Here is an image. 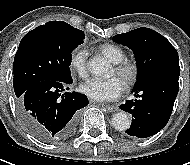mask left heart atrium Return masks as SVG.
Wrapping results in <instances>:
<instances>
[{
	"instance_id": "1",
	"label": "left heart atrium",
	"mask_w": 190,
	"mask_h": 165,
	"mask_svg": "<svg viewBox=\"0 0 190 165\" xmlns=\"http://www.w3.org/2000/svg\"><path fill=\"white\" fill-rule=\"evenodd\" d=\"M80 90L93 100L111 101L122 95L124 84L118 77H112L107 80L91 79L82 84Z\"/></svg>"
}]
</instances>
